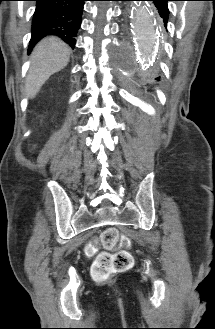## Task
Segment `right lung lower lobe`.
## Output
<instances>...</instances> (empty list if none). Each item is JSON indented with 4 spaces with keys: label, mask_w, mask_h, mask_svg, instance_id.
<instances>
[{
    "label": "right lung lower lobe",
    "mask_w": 215,
    "mask_h": 329,
    "mask_svg": "<svg viewBox=\"0 0 215 329\" xmlns=\"http://www.w3.org/2000/svg\"><path fill=\"white\" fill-rule=\"evenodd\" d=\"M29 51L47 35H56L74 48L86 0H34Z\"/></svg>",
    "instance_id": "1"
}]
</instances>
